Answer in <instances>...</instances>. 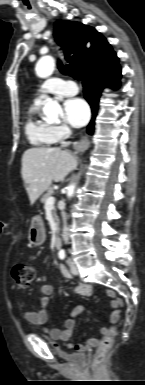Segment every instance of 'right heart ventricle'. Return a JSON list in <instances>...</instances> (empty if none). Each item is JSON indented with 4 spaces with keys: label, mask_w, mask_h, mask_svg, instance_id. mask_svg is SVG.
<instances>
[{
    "label": "right heart ventricle",
    "mask_w": 145,
    "mask_h": 385,
    "mask_svg": "<svg viewBox=\"0 0 145 385\" xmlns=\"http://www.w3.org/2000/svg\"><path fill=\"white\" fill-rule=\"evenodd\" d=\"M40 103L35 102L28 110L25 123V134L31 144L35 146H48L57 140L53 126L38 117Z\"/></svg>",
    "instance_id": "right-heart-ventricle-1"
}]
</instances>
